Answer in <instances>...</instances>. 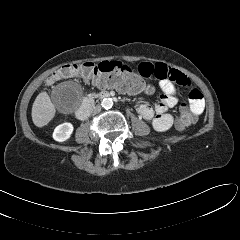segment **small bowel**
Instances as JSON below:
<instances>
[{"label":"small bowel","mask_w":240,"mask_h":240,"mask_svg":"<svg viewBox=\"0 0 240 240\" xmlns=\"http://www.w3.org/2000/svg\"><path fill=\"white\" fill-rule=\"evenodd\" d=\"M135 68L142 78H156L162 91L154 108L143 103L137 109L138 114L155 130L160 132L168 130L173 124V117L168 110L173 108L179 101L177 86L190 88V80L180 71L164 63L143 62ZM204 107L205 101L202 93L198 89L190 88L188 93V108L190 111L196 117L203 112Z\"/></svg>","instance_id":"1"}]
</instances>
